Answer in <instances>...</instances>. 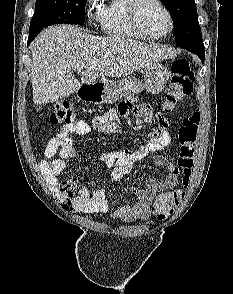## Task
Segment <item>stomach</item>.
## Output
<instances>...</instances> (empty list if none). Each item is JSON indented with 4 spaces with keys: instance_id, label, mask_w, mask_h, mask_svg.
Returning a JSON list of instances; mask_svg holds the SVG:
<instances>
[{
    "instance_id": "0dacf381",
    "label": "stomach",
    "mask_w": 233,
    "mask_h": 294,
    "mask_svg": "<svg viewBox=\"0 0 233 294\" xmlns=\"http://www.w3.org/2000/svg\"><path fill=\"white\" fill-rule=\"evenodd\" d=\"M169 71L161 63L148 65L144 70V81L139 82L129 77L111 84H104L91 94L93 100L100 104L113 103L131 94H138L144 89L152 94L161 93L168 81Z\"/></svg>"
}]
</instances>
